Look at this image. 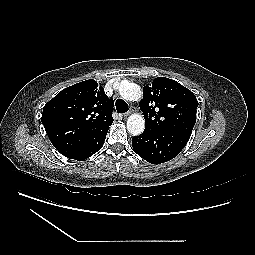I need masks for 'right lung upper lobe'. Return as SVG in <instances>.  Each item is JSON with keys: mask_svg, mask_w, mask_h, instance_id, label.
Segmentation results:
<instances>
[{"mask_svg": "<svg viewBox=\"0 0 255 255\" xmlns=\"http://www.w3.org/2000/svg\"><path fill=\"white\" fill-rule=\"evenodd\" d=\"M89 79L63 89L43 108L41 121L54 147L64 156L90 136L108 130L114 102Z\"/></svg>", "mask_w": 255, "mask_h": 255, "instance_id": "obj_1", "label": "right lung upper lobe"}]
</instances>
